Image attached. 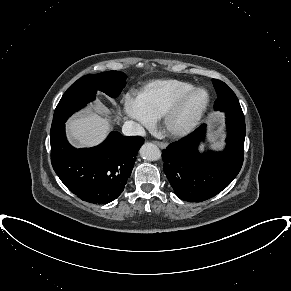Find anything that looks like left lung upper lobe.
<instances>
[{
	"instance_id": "5c2ea615",
	"label": "left lung upper lobe",
	"mask_w": 291,
	"mask_h": 291,
	"mask_svg": "<svg viewBox=\"0 0 291 291\" xmlns=\"http://www.w3.org/2000/svg\"><path fill=\"white\" fill-rule=\"evenodd\" d=\"M212 82L217 92L215 110L243 114L235 93L220 80L213 79Z\"/></svg>"
}]
</instances>
